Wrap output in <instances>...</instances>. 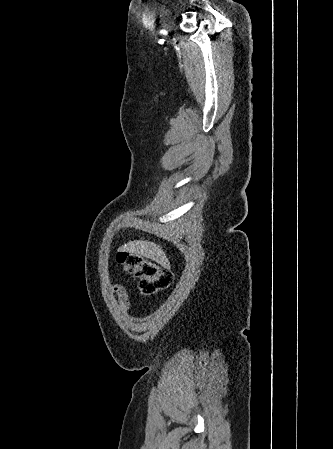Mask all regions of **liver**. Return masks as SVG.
I'll list each match as a JSON object with an SVG mask.
<instances>
[{
    "label": "liver",
    "instance_id": "liver-1",
    "mask_svg": "<svg viewBox=\"0 0 333 449\" xmlns=\"http://www.w3.org/2000/svg\"><path fill=\"white\" fill-rule=\"evenodd\" d=\"M118 251L134 253L136 255H143L146 258H150L161 266L166 267L169 265L168 258L163 250L157 244L150 241H132L121 246Z\"/></svg>",
    "mask_w": 333,
    "mask_h": 449
}]
</instances>
